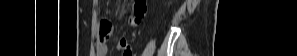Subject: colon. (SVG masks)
<instances>
[{
  "label": "colon",
  "instance_id": "1",
  "mask_svg": "<svg viewBox=\"0 0 297 56\" xmlns=\"http://www.w3.org/2000/svg\"><path fill=\"white\" fill-rule=\"evenodd\" d=\"M147 12V1L146 0H136L134 3V23H140ZM100 40L101 42H105L108 40L112 34V23L109 20H102L100 23Z\"/></svg>",
  "mask_w": 297,
  "mask_h": 56
}]
</instances>
